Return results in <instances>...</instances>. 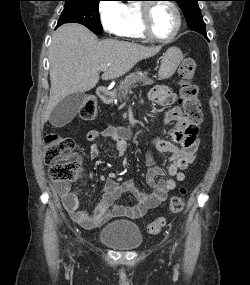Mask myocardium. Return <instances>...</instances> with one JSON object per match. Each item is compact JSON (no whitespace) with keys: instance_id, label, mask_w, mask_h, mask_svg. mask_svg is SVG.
Instances as JSON below:
<instances>
[{"instance_id":"myocardium-1","label":"myocardium","mask_w":250,"mask_h":285,"mask_svg":"<svg viewBox=\"0 0 250 285\" xmlns=\"http://www.w3.org/2000/svg\"><path fill=\"white\" fill-rule=\"evenodd\" d=\"M158 3H164L167 4L172 8L176 15L177 19V25L173 33L166 38L158 37L157 35L154 34L151 26V13L153 7L158 4ZM139 11H140V18H141V27L143 34L145 35L146 38L149 40H152L154 42H159V43H169L173 41L178 33L180 32L182 28V14L179 9V7L171 0H163L162 2H144L141 5H139Z\"/></svg>"}]
</instances>
